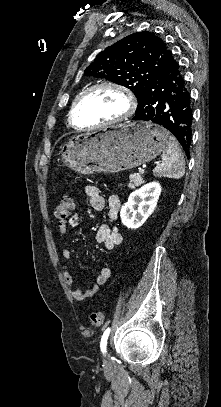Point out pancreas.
Masks as SVG:
<instances>
[{
	"mask_svg": "<svg viewBox=\"0 0 221 407\" xmlns=\"http://www.w3.org/2000/svg\"><path fill=\"white\" fill-rule=\"evenodd\" d=\"M129 178H130V182H129L130 188H135L137 186H140L142 183H144V180L140 174H131Z\"/></svg>",
	"mask_w": 221,
	"mask_h": 407,
	"instance_id": "1",
	"label": "pancreas"
}]
</instances>
